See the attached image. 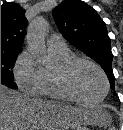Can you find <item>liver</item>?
Masks as SVG:
<instances>
[{
    "mask_svg": "<svg viewBox=\"0 0 123 130\" xmlns=\"http://www.w3.org/2000/svg\"><path fill=\"white\" fill-rule=\"evenodd\" d=\"M100 122L98 108L29 98L1 85V130H68Z\"/></svg>",
    "mask_w": 123,
    "mask_h": 130,
    "instance_id": "1",
    "label": "liver"
}]
</instances>
